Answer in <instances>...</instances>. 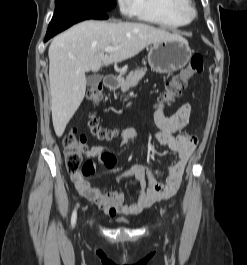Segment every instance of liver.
<instances>
[{"mask_svg": "<svg viewBox=\"0 0 247 265\" xmlns=\"http://www.w3.org/2000/svg\"><path fill=\"white\" fill-rule=\"evenodd\" d=\"M153 26L88 20L56 36L49 47L51 112L55 133L61 137L84 99L85 73L101 66L130 59L151 44L181 39ZM117 47L106 52L105 47Z\"/></svg>", "mask_w": 247, "mask_h": 265, "instance_id": "obj_1", "label": "liver"}]
</instances>
